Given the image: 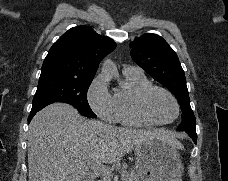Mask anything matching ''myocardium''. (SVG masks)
<instances>
[{"mask_svg": "<svg viewBox=\"0 0 228 181\" xmlns=\"http://www.w3.org/2000/svg\"><path fill=\"white\" fill-rule=\"evenodd\" d=\"M152 91H159V92L163 93L164 95H166L169 98V100L171 101V104H172V107H173L174 116L177 114L178 106H177V103H176L174 97L168 91H166L165 89H162V88L156 87V86H149V87L143 89L139 93L137 102L135 104L136 112H137V114L139 115L140 118H142L144 121H146L148 123L157 124V125L166 124V123L170 122L173 118L167 119V120H162V121H157V120H154L150 116V114H149V112L147 110L146 98Z\"/></svg>", "mask_w": 228, "mask_h": 181, "instance_id": "myocardium-1", "label": "myocardium"}]
</instances>
